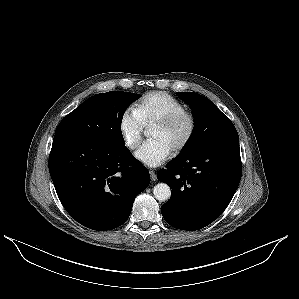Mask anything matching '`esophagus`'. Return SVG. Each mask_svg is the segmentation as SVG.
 <instances>
[{"instance_id": "esophagus-1", "label": "esophagus", "mask_w": 299, "mask_h": 299, "mask_svg": "<svg viewBox=\"0 0 299 299\" xmlns=\"http://www.w3.org/2000/svg\"><path fill=\"white\" fill-rule=\"evenodd\" d=\"M149 173L152 181H155L157 179L156 173L153 170H149Z\"/></svg>"}]
</instances>
